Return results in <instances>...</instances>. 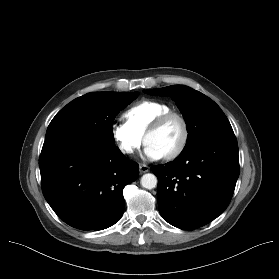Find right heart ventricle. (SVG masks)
Instances as JSON below:
<instances>
[{"label":"right heart ventricle","mask_w":279,"mask_h":279,"mask_svg":"<svg viewBox=\"0 0 279 279\" xmlns=\"http://www.w3.org/2000/svg\"><path fill=\"white\" fill-rule=\"evenodd\" d=\"M171 111L164 102L145 99L135 103L125 113L124 117L130 127L140 136L144 135L150 124L161 114Z\"/></svg>","instance_id":"1"}]
</instances>
